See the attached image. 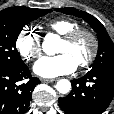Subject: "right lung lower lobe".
<instances>
[{
  "label": "right lung lower lobe",
  "mask_w": 114,
  "mask_h": 114,
  "mask_svg": "<svg viewBox=\"0 0 114 114\" xmlns=\"http://www.w3.org/2000/svg\"><path fill=\"white\" fill-rule=\"evenodd\" d=\"M26 79L28 81L22 82ZM39 82L25 64L12 70H0V114L25 113L31 93Z\"/></svg>",
  "instance_id": "98d812e1"
}]
</instances>
